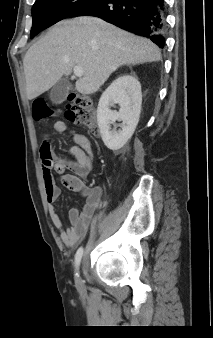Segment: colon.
<instances>
[{
    "label": "colon",
    "mask_w": 213,
    "mask_h": 338,
    "mask_svg": "<svg viewBox=\"0 0 213 338\" xmlns=\"http://www.w3.org/2000/svg\"><path fill=\"white\" fill-rule=\"evenodd\" d=\"M54 112L44 98H38L32 104V116L37 122L47 121ZM66 115L69 121L89 129L94 136L99 135L96 125V111L90 99L72 96L66 105Z\"/></svg>",
    "instance_id": "1"
}]
</instances>
